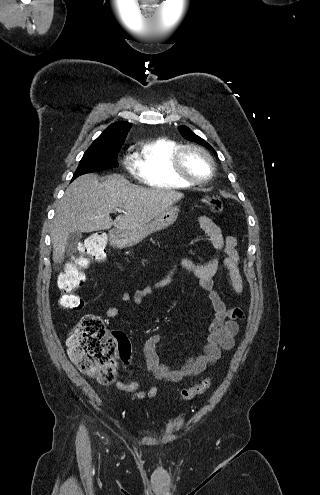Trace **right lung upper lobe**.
<instances>
[{
    "label": "right lung upper lobe",
    "mask_w": 320,
    "mask_h": 495,
    "mask_svg": "<svg viewBox=\"0 0 320 495\" xmlns=\"http://www.w3.org/2000/svg\"><path fill=\"white\" fill-rule=\"evenodd\" d=\"M130 127L128 122H115L104 130L91 146H122Z\"/></svg>",
    "instance_id": "cb5924a9"
}]
</instances>
